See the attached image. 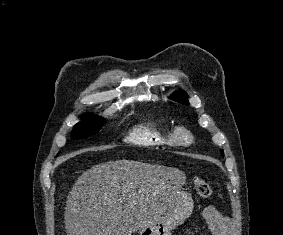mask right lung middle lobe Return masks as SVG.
Segmentation results:
<instances>
[{
	"instance_id": "right-lung-middle-lobe-1",
	"label": "right lung middle lobe",
	"mask_w": 283,
	"mask_h": 235,
	"mask_svg": "<svg viewBox=\"0 0 283 235\" xmlns=\"http://www.w3.org/2000/svg\"><path fill=\"white\" fill-rule=\"evenodd\" d=\"M103 119L93 114L82 116V121L74 126L72 136L74 138L88 137L96 134L102 127Z\"/></svg>"
}]
</instances>
